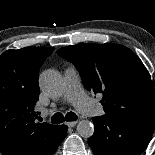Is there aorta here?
<instances>
[{
    "label": "aorta",
    "mask_w": 155,
    "mask_h": 155,
    "mask_svg": "<svg viewBox=\"0 0 155 155\" xmlns=\"http://www.w3.org/2000/svg\"><path fill=\"white\" fill-rule=\"evenodd\" d=\"M40 87L50 96H58L64 89V82L61 74L53 69L42 72L39 78ZM80 136L88 138L94 132L93 124L88 120H82L77 125Z\"/></svg>",
    "instance_id": "aorta-1"
}]
</instances>
